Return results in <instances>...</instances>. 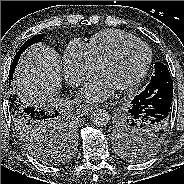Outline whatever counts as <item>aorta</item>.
<instances>
[{
    "label": "aorta",
    "mask_w": 184,
    "mask_h": 184,
    "mask_svg": "<svg viewBox=\"0 0 184 184\" xmlns=\"http://www.w3.org/2000/svg\"><path fill=\"white\" fill-rule=\"evenodd\" d=\"M91 121L97 127L106 126L110 121V115L105 109H95L91 114Z\"/></svg>",
    "instance_id": "762f6f07"
}]
</instances>
